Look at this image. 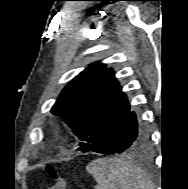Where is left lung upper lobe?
<instances>
[{"label":"left lung upper lobe","instance_id":"1","mask_svg":"<svg viewBox=\"0 0 188 189\" xmlns=\"http://www.w3.org/2000/svg\"><path fill=\"white\" fill-rule=\"evenodd\" d=\"M130 111L127 97L105 64L95 63L77 75L51 109L79 138L78 150H91Z\"/></svg>","mask_w":188,"mask_h":189}]
</instances>
